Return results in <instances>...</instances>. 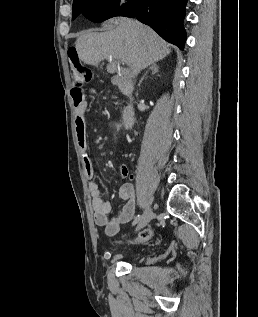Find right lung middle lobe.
Listing matches in <instances>:
<instances>
[{
  "label": "right lung middle lobe",
  "mask_w": 258,
  "mask_h": 317,
  "mask_svg": "<svg viewBox=\"0 0 258 317\" xmlns=\"http://www.w3.org/2000/svg\"><path fill=\"white\" fill-rule=\"evenodd\" d=\"M119 0H73L72 18L80 14L93 22H102L115 16Z\"/></svg>",
  "instance_id": "obj_1"
}]
</instances>
